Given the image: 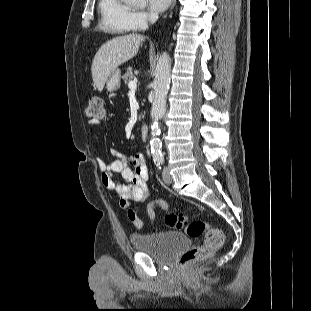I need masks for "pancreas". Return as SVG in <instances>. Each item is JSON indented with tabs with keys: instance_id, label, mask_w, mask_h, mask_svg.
I'll return each instance as SVG.
<instances>
[{
	"instance_id": "cf45deb5",
	"label": "pancreas",
	"mask_w": 311,
	"mask_h": 311,
	"mask_svg": "<svg viewBox=\"0 0 311 311\" xmlns=\"http://www.w3.org/2000/svg\"><path fill=\"white\" fill-rule=\"evenodd\" d=\"M134 75L131 69H127L124 75H122V79L125 81V83L130 82L133 79ZM142 115L139 116V119H142Z\"/></svg>"
}]
</instances>
